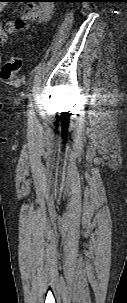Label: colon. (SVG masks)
I'll return each mask as SVG.
<instances>
[{
  "mask_svg": "<svg viewBox=\"0 0 127 303\" xmlns=\"http://www.w3.org/2000/svg\"><path fill=\"white\" fill-rule=\"evenodd\" d=\"M22 67V59L20 57H12L2 68V77L5 80H13L17 77Z\"/></svg>",
  "mask_w": 127,
  "mask_h": 303,
  "instance_id": "colon-1",
  "label": "colon"
}]
</instances>
